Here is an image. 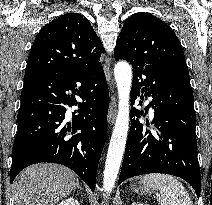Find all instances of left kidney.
Instances as JSON below:
<instances>
[{
  "label": "left kidney",
  "mask_w": 212,
  "mask_h": 205,
  "mask_svg": "<svg viewBox=\"0 0 212 205\" xmlns=\"http://www.w3.org/2000/svg\"><path fill=\"white\" fill-rule=\"evenodd\" d=\"M132 205H144V204H137V203H134V204H132Z\"/></svg>",
  "instance_id": "1"
}]
</instances>
